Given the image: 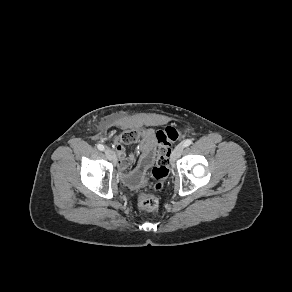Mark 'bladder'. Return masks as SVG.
Returning a JSON list of instances; mask_svg holds the SVG:
<instances>
[{
	"label": "bladder",
	"mask_w": 292,
	"mask_h": 292,
	"mask_svg": "<svg viewBox=\"0 0 292 292\" xmlns=\"http://www.w3.org/2000/svg\"><path fill=\"white\" fill-rule=\"evenodd\" d=\"M124 184L131 189H138L146 184V179L142 176H137L135 174H126L123 177Z\"/></svg>",
	"instance_id": "obj_1"
}]
</instances>
